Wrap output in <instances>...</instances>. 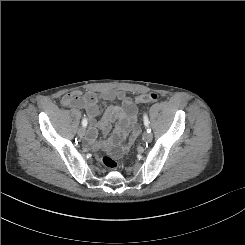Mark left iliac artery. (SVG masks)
I'll return each instance as SVG.
<instances>
[{
    "mask_svg": "<svg viewBox=\"0 0 245 245\" xmlns=\"http://www.w3.org/2000/svg\"><path fill=\"white\" fill-rule=\"evenodd\" d=\"M143 121H144V125L147 127V132H151V129L149 128V120H148V116L147 114L143 115Z\"/></svg>",
    "mask_w": 245,
    "mask_h": 245,
    "instance_id": "left-iliac-artery-1",
    "label": "left iliac artery"
}]
</instances>
